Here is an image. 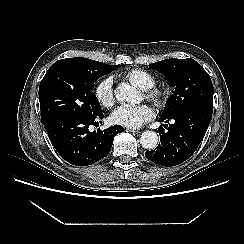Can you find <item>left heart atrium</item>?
Segmentation results:
<instances>
[{"mask_svg":"<svg viewBox=\"0 0 244 244\" xmlns=\"http://www.w3.org/2000/svg\"><path fill=\"white\" fill-rule=\"evenodd\" d=\"M154 116L153 110L147 105L117 107L111 115L114 123L129 128H139Z\"/></svg>","mask_w":244,"mask_h":244,"instance_id":"1","label":"left heart atrium"}]
</instances>
